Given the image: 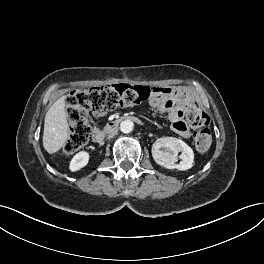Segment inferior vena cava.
I'll return each instance as SVG.
<instances>
[{"instance_id":"obj_1","label":"inferior vena cava","mask_w":264,"mask_h":264,"mask_svg":"<svg viewBox=\"0 0 264 264\" xmlns=\"http://www.w3.org/2000/svg\"><path fill=\"white\" fill-rule=\"evenodd\" d=\"M120 131H121V130H120L119 128H117V129L114 130L110 135H108V138H112V137H114L115 135H118Z\"/></svg>"}]
</instances>
